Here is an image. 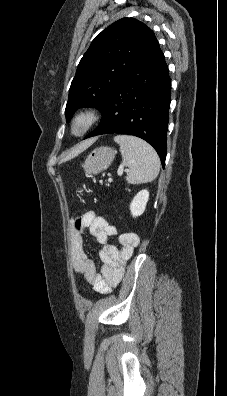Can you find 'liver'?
Wrapping results in <instances>:
<instances>
[{"label": "liver", "instance_id": "obj_1", "mask_svg": "<svg viewBox=\"0 0 227 396\" xmlns=\"http://www.w3.org/2000/svg\"><path fill=\"white\" fill-rule=\"evenodd\" d=\"M94 140L86 141L81 143L79 146H77L75 149L72 150V152L67 156L66 159H70L79 153L83 152L86 148H88Z\"/></svg>", "mask_w": 227, "mask_h": 396}]
</instances>
